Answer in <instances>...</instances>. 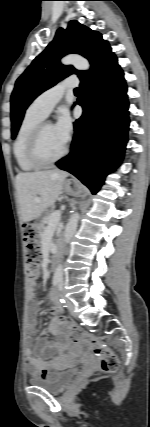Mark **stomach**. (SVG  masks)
<instances>
[{
    "instance_id": "1",
    "label": "stomach",
    "mask_w": 150,
    "mask_h": 427,
    "mask_svg": "<svg viewBox=\"0 0 150 427\" xmlns=\"http://www.w3.org/2000/svg\"><path fill=\"white\" fill-rule=\"evenodd\" d=\"M63 190L70 195L76 194L80 190V185L75 180H65L63 182Z\"/></svg>"
}]
</instances>
